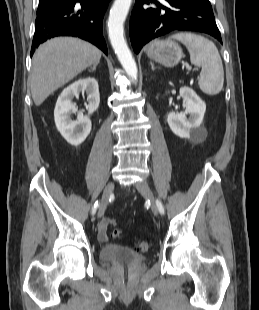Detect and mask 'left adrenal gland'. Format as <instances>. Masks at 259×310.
I'll list each match as a JSON object with an SVG mask.
<instances>
[{
	"label": "left adrenal gland",
	"mask_w": 259,
	"mask_h": 310,
	"mask_svg": "<svg viewBox=\"0 0 259 310\" xmlns=\"http://www.w3.org/2000/svg\"><path fill=\"white\" fill-rule=\"evenodd\" d=\"M150 65H151V69H152V71H154V70H155L154 65H153L152 63H150Z\"/></svg>",
	"instance_id": "left-adrenal-gland-1"
}]
</instances>
